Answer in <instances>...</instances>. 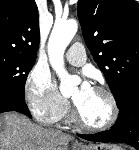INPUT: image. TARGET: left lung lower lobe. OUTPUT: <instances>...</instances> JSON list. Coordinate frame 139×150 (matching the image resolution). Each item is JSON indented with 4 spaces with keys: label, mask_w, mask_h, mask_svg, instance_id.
I'll return each mask as SVG.
<instances>
[{
    "label": "left lung lower lobe",
    "mask_w": 139,
    "mask_h": 150,
    "mask_svg": "<svg viewBox=\"0 0 139 150\" xmlns=\"http://www.w3.org/2000/svg\"><path fill=\"white\" fill-rule=\"evenodd\" d=\"M117 106L119 116L112 129L78 136L89 141L125 143L139 150V83L127 90Z\"/></svg>",
    "instance_id": "left-lung-lower-lobe-1"
}]
</instances>
